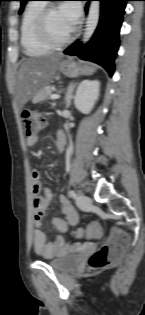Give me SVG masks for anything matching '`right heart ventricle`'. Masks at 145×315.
<instances>
[{
    "instance_id": "e07e8e85",
    "label": "right heart ventricle",
    "mask_w": 145,
    "mask_h": 315,
    "mask_svg": "<svg viewBox=\"0 0 145 315\" xmlns=\"http://www.w3.org/2000/svg\"><path fill=\"white\" fill-rule=\"evenodd\" d=\"M45 7L39 0H33L25 8L20 25V42L28 56H42L50 52V48L38 40L34 32V23Z\"/></svg>"
}]
</instances>
